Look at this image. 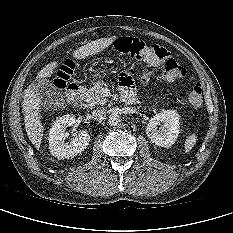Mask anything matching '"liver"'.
Returning <instances> with one entry per match:
<instances>
[{
	"instance_id": "1",
	"label": "liver",
	"mask_w": 233,
	"mask_h": 233,
	"mask_svg": "<svg viewBox=\"0 0 233 233\" xmlns=\"http://www.w3.org/2000/svg\"><path fill=\"white\" fill-rule=\"evenodd\" d=\"M117 39L116 36L109 38H100L94 41L87 43L84 46L79 47L74 51L73 57L77 60L85 59L86 57L93 56L97 53H100L111 45ZM58 67L57 62H51L47 64L38 72L36 80H40L45 77H49L53 74L55 68ZM41 98L35 92L33 88V83H31L28 88L25 90L23 97V112H24V121L25 129L28 135L29 140L36 149L40 148L44 127L41 123L39 112H40Z\"/></svg>"
}]
</instances>
